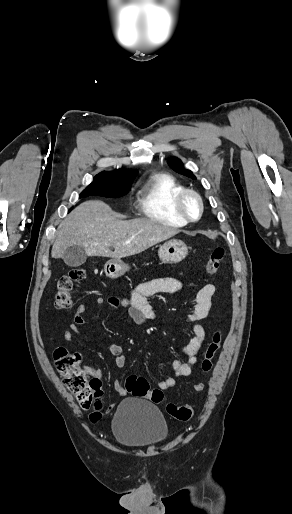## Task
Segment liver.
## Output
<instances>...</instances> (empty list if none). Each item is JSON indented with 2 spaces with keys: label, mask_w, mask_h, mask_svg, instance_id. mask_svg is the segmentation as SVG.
Here are the masks:
<instances>
[{
  "label": "liver",
  "mask_w": 292,
  "mask_h": 514,
  "mask_svg": "<svg viewBox=\"0 0 292 514\" xmlns=\"http://www.w3.org/2000/svg\"><path fill=\"white\" fill-rule=\"evenodd\" d=\"M114 214L99 200H88L77 206L58 226L52 258H62L68 246H82L87 256L127 258L180 232L149 218L117 220Z\"/></svg>",
  "instance_id": "liver-1"
}]
</instances>
